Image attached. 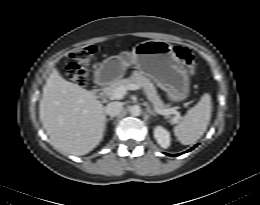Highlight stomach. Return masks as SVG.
<instances>
[{
  "instance_id": "0dacf381",
  "label": "stomach",
  "mask_w": 260,
  "mask_h": 205,
  "mask_svg": "<svg viewBox=\"0 0 260 205\" xmlns=\"http://www.w3.org/2000/svg\"><path fill=\"white\" fill-rule=\"evenodd\" d=\"M149 76L166 92L172 102H182L190 94V77L187 69L164 40L139 43L132 52H123L105 59L96 73V82L107 84L123 77L128 65Z\"/></svg>"
}]
</instances>
